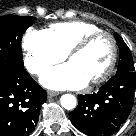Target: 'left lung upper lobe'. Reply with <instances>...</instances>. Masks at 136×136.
<instances>
[{
  "label": "left lung upper lobe",
  "mask_w": 136,
  "mask_h": 136,
  "mask_svg": "<svg viewBox=\"0 0 136 136\" xmlns=\"http://www.w3.org/2000/svg\"><path fill=\"white\" fill-rule=\"evenodd\" d=\"M114 37L119 46V59H120L116 74L134 72L135 68H134L133 58H132L130 49L128 48L126 43L123 41L121 36L115 33Z\"/></svg>",
  "instance_id": "1"
}]
</instances>
